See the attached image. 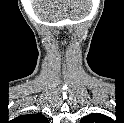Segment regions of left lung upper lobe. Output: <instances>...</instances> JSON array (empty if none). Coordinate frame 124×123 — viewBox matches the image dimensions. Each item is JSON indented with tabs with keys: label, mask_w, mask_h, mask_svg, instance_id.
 <instances>
[{
	"label": "left lung upper lobe",
	"mask_w": 124,
	"mask_h": 123,
	"mask_svg": "<svg viewBox=\"0 0 124 123\" xmlns=\"http://www.w3.org/2000/svg\"><path fill=\"white\" fill-rule=\"evenodd\" d=\"M105 116L99 113L89 114L81 119V123H99Z\"/></svg>",
	"instance_id": "left-lung-upper-lobe-1"
}]
</instances>
